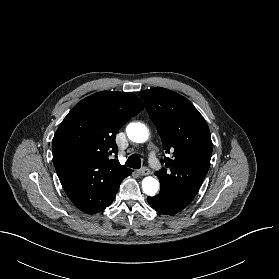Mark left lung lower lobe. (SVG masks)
<instances>
[{
  "mask_svg": "<svg viewBox=\"0 0 279 279\" xmlns=\"http://www.w3.org/2000/svg\"><path fill=\"white\" fill-rule=\"evenodd\" d=\"M194 197L181 195L160 189V193L155 197H147V201L152 208L164 215H173L183 210Z\"/></svg>",
  "mask_w": 279,
  "mask_h": 279,
  "instance_id": "0a47b994",
  "label": "left lung lower lobe"
}]
</instances>
